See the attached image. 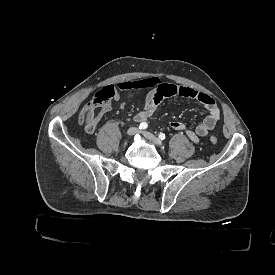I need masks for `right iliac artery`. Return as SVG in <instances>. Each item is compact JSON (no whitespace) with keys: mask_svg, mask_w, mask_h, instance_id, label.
Wrapping results in <instances>:
<instances>
[{"mask_svg":"<svg viewBox=\"0 0 275 275\" xmlns=\"http://www.w3.org/2000/svg\"><path fill=\"white\" fill-rule=\"evenodd\" d=\"M147 127H148V124L146 122H142L139 125V129H141V130L146 129Z\"/></svg>","mask_w":275,"mask_h":275,"instance_id":"1","label":"right iliac artery"}]
</instances>
